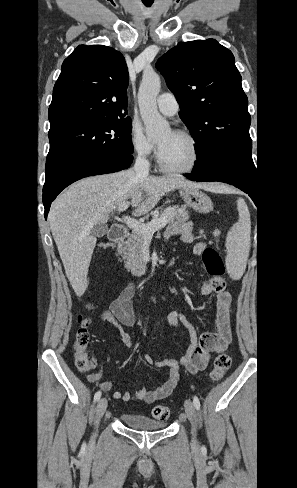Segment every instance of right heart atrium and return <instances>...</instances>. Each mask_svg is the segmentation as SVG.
Returning <instances> with one entry per match:
<instances>
[{
	"mask_svg": "<svg viewBox=\"0 0 297 488\" xmlns=\"http://www.w3.org/2000/svg\"><path fill=\"white\" fill-rule=\"evenodd\" d=\"M129 141L134 154L143 160H148L155 153L154 143L146 136L142 125L133 121L129 132Z\"/></svg>",
	"mask_w": 297,
	"mask_h": 488,
	"instance_id": "right-heart-atrium-1",
	"label": "right heart atrium"
}]
</instances>
